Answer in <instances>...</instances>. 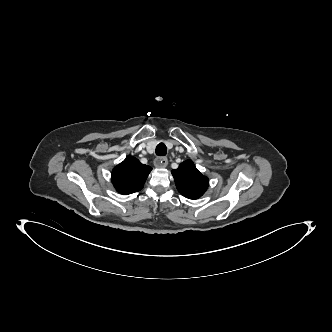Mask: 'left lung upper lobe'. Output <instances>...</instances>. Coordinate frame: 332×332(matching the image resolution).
I'll return each instance as SVG.
<instances>
[{"label":"left lung upper lobe","mask_w":332,"mask_h":332,"mask_svg":"<svg viewBox=\"0 0 332 332\" xmlns=\"http://www.w3.org/2000/svg\"><path fill=\"white\" fill-rule=\"evenodd\" d=\"M172 174L178 191L186 198L198 199L208 188V178L196 169L191 160L182 162L178 169L172 170Z\"/></svg>","instance_id":"5c2ea615"}]
</instances>
